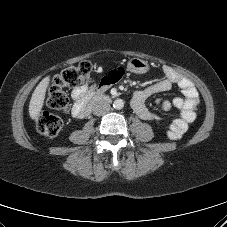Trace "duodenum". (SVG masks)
Listing matches in <instances>:
<instances>
[{"instance_id": "1", "label": "duodenum", "mask_w": 227, "mask_h": 227, "mask_svg": "<svg viewBox=\"0 0 227 227\" xmlns=\"http://www.w3.org/2000/svg\"><path fill=\"white\" fill-rule=\"evenodd\" d=\"M109 97L102 93H94L88 97L83 107V116H86L92 107L99 102H107Z\"/></svg>"}]
</instances>
